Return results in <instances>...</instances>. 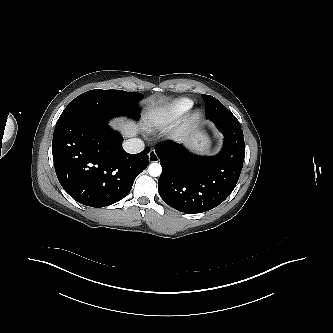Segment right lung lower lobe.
<instances>
[{"mask_svg":"<svg viewBox=\"0 0 333 333\" xmlns=\"http://www.w3.org/2000/svg\"><path fill=\"white\" fill-rule=\"evenodd\" d=\"M107 122L57 121L52 141L56 175L77 202L105 207L123 199L148 166V153L129 154Z\"/></svg>","mask_w":333,"mask_h":333,"instance_id":"right-lung-lower-lobe-1","label":"right lung lower lobe"}]
</instances>
